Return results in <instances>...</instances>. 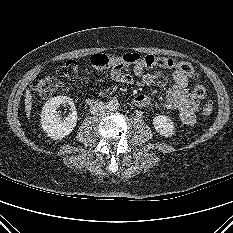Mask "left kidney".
I'll return each instance as SVG.
<instances>
[{
  "instance_id": "obj_1",
  "label": "left kidney",
  "mask_w": 233,
  "mask_h": 233,
  "mask_svg": "<svg viewBox=\"0 0 233 233\" xmlns=\"http://www.w3.org/2000/svg\"><path fill=\"white\" fill-rule=\"evenodd\" d=\"M153 125L156 131L162 136L170 137L175 133L174 122L168 116L157 115L153 119Z\"/></svg>"
}]
</instances>
